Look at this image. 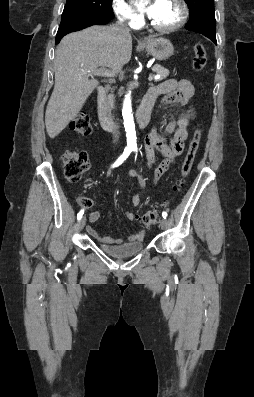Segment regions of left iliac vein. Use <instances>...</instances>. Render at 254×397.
<instances>
[{"mask_svg": "<svg viewBox=\"0 0 254 397\" xmlns=\"http://www.w3.org/2000/svg\"><path fill=\"white\" fill-rule=\"evenodd\" d=\"M167 220L166 219H164V218H162V220H161V222H160V227L162 228V229H165L166 227H167Z\"/></svg>", "mask_w": 254, "mask_h": 397, "instance_id": "left-iliac-vein-1", "label": "left iliac vein"}]
</instances>
